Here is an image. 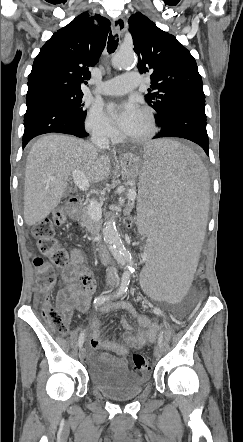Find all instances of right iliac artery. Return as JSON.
I'll return each instance as SVG.
<instances>
[{
  "label": "right iliac artery",
  "instance_id": "obj_1",
  "mask_svg": "<svg viewBox=\"0 0 243 442\" xmlns=\"http://www.w3.org/2000/svg\"><path fill=\"white\" fill-rule=\"evenodd\" d=\"M129 282H130V273L126 272L123 275L121 286L118 289V291L116 293L112 294V295H100V296L96 297L94 302H93L94 303V307H98V306L102 305L105 302H108V301H110L112 299H116V298L121 297L127 291ZM84 335H85L84 331L81 332V334L79 336V339H78L79 347H82V345L84 343Z\"/></svg>",
  "mask_w": 243,
  "mask_h": 442
}]
</instances>
